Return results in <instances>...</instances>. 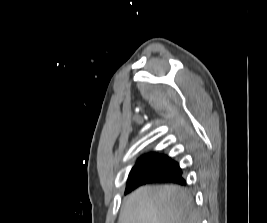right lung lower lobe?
<instances>
[{
	"instance_id": "obj_1",
	"label": "right lung lower lobe",
	"mask_w": 267,
	"mask_h": 223,
	"mask_svg": "<svg viewBox=\"0 0 267 223\" xmlns=\"http://www.w3.org/2000/svg\"><path fill=\"white\" fill-rule=\"evenodd\" d=\"M156 182H173L181 185H185L186 182L182 178V170L178 166L170 173L161 172H139L130 175L127 182L125 193L137 188L140 185L156 183Z\"/></svg>"
}]
</instances>
